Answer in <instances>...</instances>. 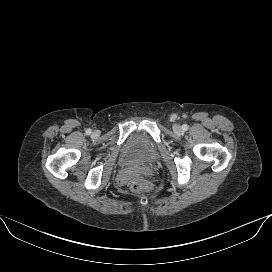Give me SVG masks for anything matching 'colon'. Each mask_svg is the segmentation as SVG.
Wrapping results in <instances>:
<instances>
[{"label":"colon","mask_w":272,"mask_h":272,"mask_svg":"<svg viewBox=\"0 0 272 272\" xmlns=\"http://www.w3.org/2000/svg\"><path fill=\"white\" fill-rule=\"evenodd\" d=\"M129 186L135 192H149L152 189L151 183L142 177L134 178Z\"/></svg>","instance_id":"obj_1"}]
</instances>
